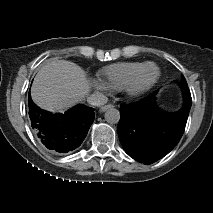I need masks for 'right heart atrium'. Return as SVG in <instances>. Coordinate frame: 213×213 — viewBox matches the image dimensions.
Instances as JSON below:
<instances>
[{"instance_id": "right-heart-atrium-1", "label": "right heart atrium", "mask_w": 213, "mask_h": 213, "mask_svg": "<svg viewBox=\"0 0 213 213\" xmlns=\"http://www.w3.org/2000/svg\"><path fill=\"white\" fill-rule=\"evenodd\" d=\"M94 87L97 89V90H101V91H105L109 88L108 84L101 80V79H98L94 82Z\"/></svg>"}]
</instances>
